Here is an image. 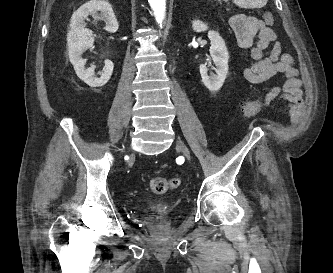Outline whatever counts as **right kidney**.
<instances>
[{
    "label": "right kidney",
    "instance_id": "right-kidney-1",
    "mask_svg": "<svg viewBox=\"0 0 333 273\" xmlns=\"http://www.w3.org/2000/svg\"><path fill=\"white\" fill-rule=\"evenodd\" d=\"M100 12V14L98 13ZM88 16L105 21V30L114 33L118 30V22L108 1L91 0L83 4L71 18L70 31L67 35V45L70 62L74 66L77 76L91 87L104 86L113 73L114 64L110 60L104 61L103 72L100 77L95 75V66L86 68V59L82 54L93 46L92 31L86 28L85 20Z\"/></svg>",
    "mask_w": 333,
    "mask_h": 273
}]
</instances>
